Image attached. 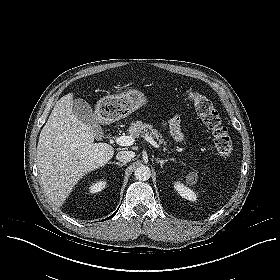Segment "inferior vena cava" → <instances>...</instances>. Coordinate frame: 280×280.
<instances>
[{
  "instance_id": "obj_1",
  "label": "inferior vena cava",
  "mask_w": 280,
  "mask_h": 280,
  "mask_svg": "<svg viewBox=\"0 0 280 280\" xmlns=\"http://www.w3.org/2000/svg\"><path fill=\"white\" fill-rule=\"evenodd\" d=\"M134 157L135 153L133 151H120L116 155V159L124 164L131 161Z\"/></svg>"
}]
</instances>
